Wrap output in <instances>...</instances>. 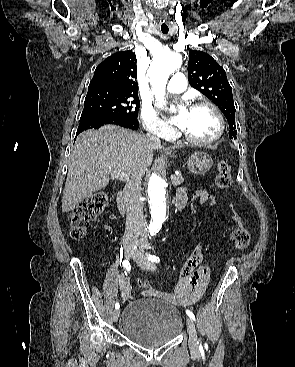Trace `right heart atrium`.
<instances>
[{
	"instance_id": "right-heart-atrium-1",
	"label": "right heart atrium",
	"mask_w": 295,
	"mask_h": 367,
	"mask_svg": "<svg viewBox=\"0 0 295 367\" xmlns=\"http://www.w3.org/2000/svg\"><path fill=\"white\" fill-rule=\"evenodd\" d=\"M143 128L150 134L157 137H170L173 130L157 115L155 110L150 106H144L140 112Z\"/></svg>"
}]
</instances>
